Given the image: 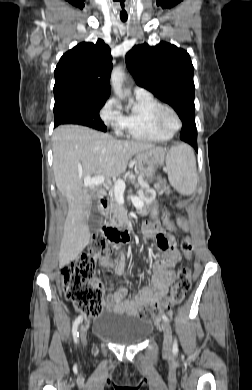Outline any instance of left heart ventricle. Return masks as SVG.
<instances>
[{
  "label": "left heart ventricle",
  "instance_id": "left-heart-ventricle-1",
  "mask_svg": "<svg viewBox=\"0 0 252 390\" xmlns=\"http://www.w3.org/2000/svg\"><path fill=\"white\" fill-rule=\"evenodd\" d=\"M163 123L169 129H172V128L176 127V125H177L175 117L169 112L164 114Z\"/></svg>",
  "mask_w": 252,
  "mask_h": 390
}]
</instances>
